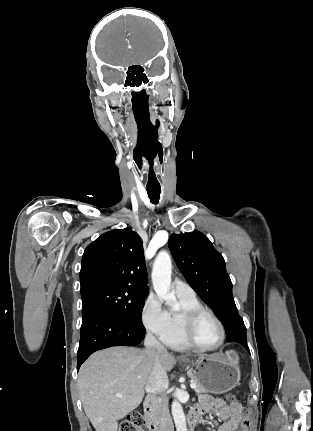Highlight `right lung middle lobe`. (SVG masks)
Instances as JSON below:
<instances>
[{"label": "right lung middle lobe", "mask_w": 313, "mask_h": 431, "mask_svg": "<svg viewBox=\"0 0 313 431\" xmlns=\"http://www.w3.org/2000/svg\"><path fill=\"white\" fill-rule=\"evenodd\" d=\"M147 294L148 292L128 286L96 291L82 297V316L84 318L95 311H108L138 327H144L141 317Z\"/></svg>", "instance_id": "1"}]
</instances>
